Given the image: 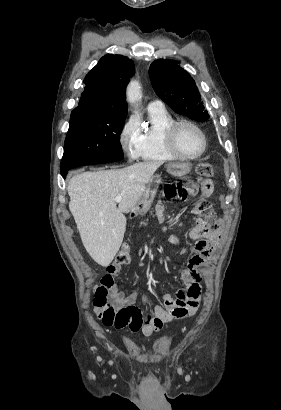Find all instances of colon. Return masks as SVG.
I'll list each match as a JSON object with an SVG mask.
<instances>
[{
	"label": "colon",
	"mask_w": 281,
	"mask_h": 410,
	"mask_svg": "<svg viewBox=\"0 0 281 410\" xmlns=\"http://www.w3.org/2000/svg\"><path fill=\"white\" fill-rule=\"evenodd\" d=\"M215 168L209 163H201L197 166V173L202 177H212L214 175ZM164 194L167 200L177 202L183 201L188 195L187 188L181 182H171L166 184L164 188ZM131 253L128 246H123L116 255V263L119 265H125L130 262ZM199 300L193 298L188 302L189 308L185 310L186 313H189L191 310H195L199 306ZM140 310H128L124 311H115L112 308H108L102 314L99 315V318L106 325H115L117 328L129 327L131 330L137 328L140 323ZM132 318L133 322L130 321Z\"/></svg>",
	"instance_id": "colon-1"
}]
</instances>
